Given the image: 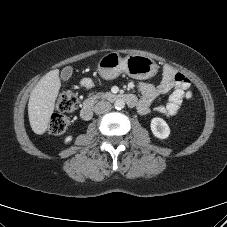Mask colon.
<instances>
[{"label": "colon", "mask_w": 227, "mask_h": 227, "mask_svg": "<svg viewBox=\"0 0 227 227\" xmlns=\"http://www.w3.org/2000/svg\"><path fill=\"white\" fill-rule=\"evenodd\" d=\"M80 105V98L75 90L62 93L56 102V110L50 119L49 131L52 135L63 134L69 124L67 114L75 112Z\"/></svg>", "instance_id": "colon-1"}]
</instances>
